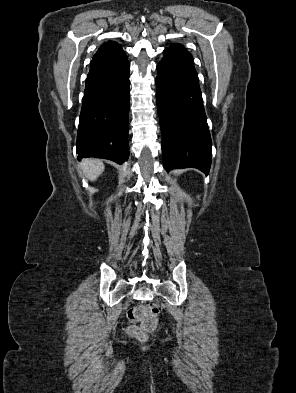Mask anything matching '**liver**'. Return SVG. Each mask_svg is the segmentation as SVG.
I'll return each mask as SVG.
<instances>
[{
	"instance_id": "6515ba94",
	"label": "liver",
	"mask_w": 296,
	"mask_h": 393,
	"mask_svg": "<svg viewBox=\"0 0 296 393\" xmlns=\"http://www.w3.org/2000/svg\"><path fill=\"white\" fill-rule=\"evenodd\" d=\"M80 169L87 179L94 181L104 171V164L97 159H84L79 164Z\"/></svg>"
}]
</instances>
